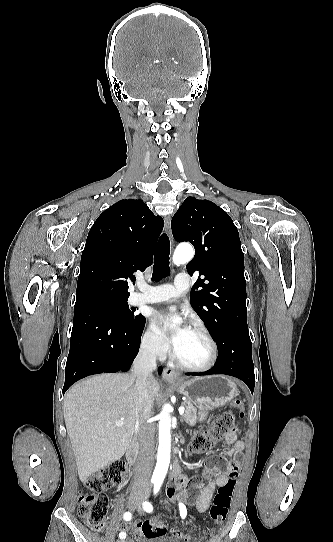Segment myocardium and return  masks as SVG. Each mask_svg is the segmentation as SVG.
I'll list each match as a JSON object with an SVG mask.
<instances>
[{
  "label": "myocardium",
  "mask_w": 333,
  "mask_h": 542,
  "mask_svg": "<svg viewBox=\"0 0 333 542\" xmlns=\"http://www.w3.org/2000/svg\"><path fill=\"white\" fill-rule=\"evenodd\" d=\"M191 328L195 330L196 332H198L209 343L210 349H211V356H210L209 361L205 365H202V366H193V365L186 364L174 355L171 348L168 349V353H167L168 357L173 364H175L178 368L182 370H185L188 372H198V373L207 372L215 366L218 360L219 349H218L217 342L215 341L211 333L204 326L195 324Z\"/></svg>",
  "instance_id": "obj_1"
}]
</instances>
